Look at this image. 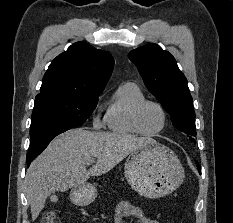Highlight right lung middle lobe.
Masks as SVG:
<instances>
[{
	"instance_id": "1",
	"label": "right lung middle lobe",
	"mask_w": 233,
	"mask_h": 223,
	"mask_svg": "<svg viewBox=\"0 0 233 223\" xmlns=\"http://www.w3.org/2000/svg\"><path fill=\"white\" fill-rule=\"evenodd\" d=\"M98 96L63 93L36 96L28 155L40 154L54 137L84 124L94 111Z\"/></svg>"
}]
</instances>
